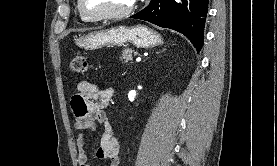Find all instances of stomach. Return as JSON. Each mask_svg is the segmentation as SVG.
I'll use <instances>...</instances> for the list:
<instances>
[{
    "instance_id": "1",
    "label": "stomach",
    "mask_w": 277,
    "mask_h": 166,
    "mask_svg": "<svg viewBox=\"0 0 277 166\" xmlns=\"http://www.w3.org/2000/svg\"><path fill=\"white\" fill-rule=\"evenodd\" d=\"M132 43L140 48L154 47L162 43L161 36L143 25L133 27L119 26L111 29L95 31L75 39L78 47L94 50L104 46Z\"/></svg>"
}]
</instances>
